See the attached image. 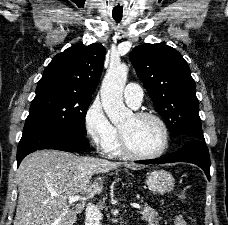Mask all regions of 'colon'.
<instances>
[{"mask_svg":"<svg viewBox=\"0 0 228 225\" xmlns=\"http://www.w3.org/2000/svg\"><path fill=\"white\" fill-rule=\"evenodd\" d=\"M175 225H187V221L182 214H177L174 219Z\"/></svg>","mask_w":228,"mask_h":225,"instance_id":"5ec220e1","label":"colon"}]
</instances>
